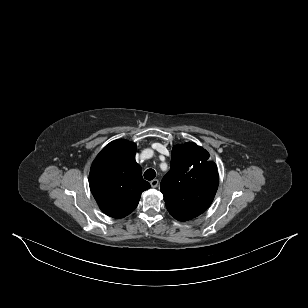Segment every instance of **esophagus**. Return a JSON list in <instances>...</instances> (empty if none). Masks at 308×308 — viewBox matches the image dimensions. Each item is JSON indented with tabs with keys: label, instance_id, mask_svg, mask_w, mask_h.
<instances>
[{
	"label": "esophagus",
	"instance_id": "34e87169",
	"mask_svg": "<svg viewBox=\"0 0 308 308\" xmlns=\"http://www.w3.org/2000/svg\"><path fill=\"white\" fill-rule=\"evenodd\" d=\"M151 187L156 188L159 185V180L158 179H153L150 181Z\"/></svg>",
	"mask_w": 308,
	"mask_h": 308
}]
</instances>
